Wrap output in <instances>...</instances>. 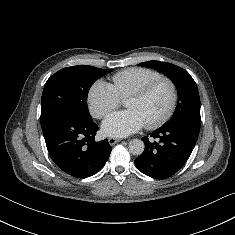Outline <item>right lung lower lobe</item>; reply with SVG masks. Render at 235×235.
Returning a JSON list of instances; mask_svg holds the SVG:
<instances>
[{"instance_id":"right-lung-lower-lobe-1","label":"right lung lower lobe","mask_w":235,"mask_h":235,"mask_svg":"<svg viewBox=\"0 0 235 235\" xmlns=\"http://www.w3.org/2000/svg\"><path fill=\"white\" fill-rule=\"evenodd\" d=\"M48 152L55 164L67 174L86 178L97 173L108 160V140L95 141L98 126L92 119L66 115L42 127Z\"/></svg>"}]
</instances>
